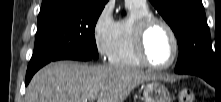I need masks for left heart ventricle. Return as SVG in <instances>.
<instances>
[{
    "mask_svg": "<svg viewBox=\"0 0 221 102\" xmlns=\"http://www.w3.org/2000/svg\"><path fill=\"white\" fill-rule=\"evenodd\" d=\"M146 49L148 57L153 63L157 65L168 63L174 52L169 32L161 25L153 26L146 38Z\"/></svg>",
    "mask_w": 221,
    "mask_h": 102,
    "instance_id": "obj_1",
    "label": "left heart ventricle"
}]
</instances>
